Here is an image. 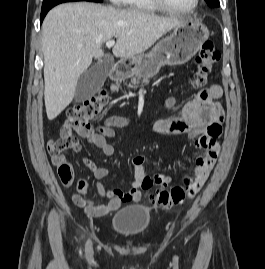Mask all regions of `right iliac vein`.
I'll return each mask as SVG.
<instances>
[{"label": "right iliac vein", "instance_id": "right-iliac-vein-1", "mask_svg": "<svg viewBox=\"0 0 265 269\" xmlns=\"http://www.w3.org/2000/svg\"><path fill=\"white\" fill-rule=\"evenodd\" d=\"M92 253H93L92 244H91V242H88L87 245H86L85 255H86V257L89 258V257L92 256Z\"/></svg>", "mask_w": 265, "mask_h": 269}]
</instances>
